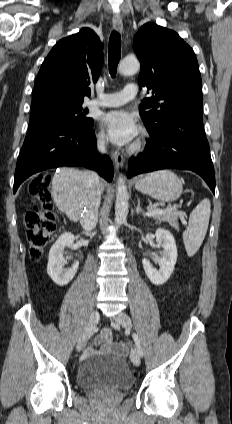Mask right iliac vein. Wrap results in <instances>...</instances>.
I'll return each instance as SVG.
<instances>
[{
    "label": "right iliac vein",
    "instance_id": "63e3f726",
    "mask_svg": "<svg viewBox=\"0 0 232 424\" xmlns=\"http://www.w3.org/2000/svg\"><path fill=\"white\" fill-rule=\"evenodd\" d=\"M99 318H100V316H99V312L97 310H95L91 313L89 320H88V322L85 326V329H84L82 335L80 336V338L77 341V344H76V350L77 351L83 350L88 339L90 338V336L95 331L96 326L99 322Z\"/></svg>",
    "mask_w": 232,
    "mask_h": 424
}]
</instances>
